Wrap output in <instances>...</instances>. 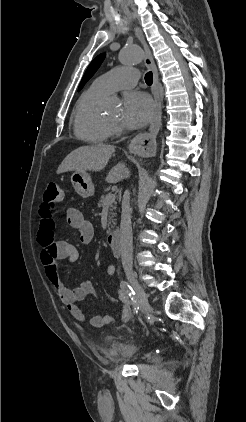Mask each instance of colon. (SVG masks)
<instances>
[{"mask_svg":"<svg viewBox=\"0 0 246 422\" xmlns=\"http://www.w3.org/2000/svg\"><path fill=\"white\" fill-rule=\"evenodd\" d=\"M64 199V191L57 183H49L44 191L43 201L53 212L61 210V204Z\"/></svg>","mask_w":246,"mask_h":422,"instance_id":"obj_1","label":"colon"}]
</instances>
